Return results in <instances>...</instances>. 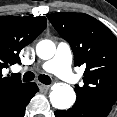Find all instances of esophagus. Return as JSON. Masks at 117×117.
Here are the masks:
<instances>
[{
    "instance_id": "34e87169",
    "label": "esophagus",
    "mask_w": 117,
    "mask_h": 117,
    "mask_svg": "<svg viewBox=\"0 0 117 117\" xmlns=\"http://www.w3.org/2000/svg\"><path fill=\"white\" fill-rule=\"evenodd\" d=\"M38 87L40 89V91H47L49 89V86L48 85H44L42 83H38Z\"/></svg>"
}]
</instances>
